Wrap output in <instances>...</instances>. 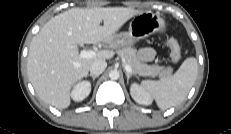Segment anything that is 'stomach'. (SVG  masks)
<instances>
[{
    "mask_svg": "<svg viewBox=\"0 0 231 134\" xmlns=\"http://www.w3.org/2000/svg\"><path fill=\"white\" fill-rule=\"evenodd\" d=\"M165 30L166 23L159 14L149 11L142 12L137 14L130 22L128 32L115 35L113 45L119 49L129 47L141 39Z\"/></svg>",
    "mask_w": 231,
    "mask_h": 134,
    "instance_id": "1",
    "label": "stomach"
}]
</instances>
